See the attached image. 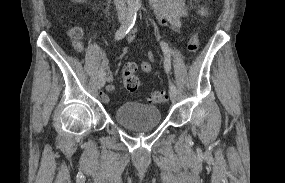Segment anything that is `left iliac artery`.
Masks as SVG:
<instances>
[{"instance_id": "left-iliac-artery-1", "label": "left iliac artery", "mask_w": 285, "mask_h": 183, "mask_svg": "<svg viewBox=\"0 0 285 183\" xmlns=\"http://www.w3.org/2000/svg\"><path fill=\"white\" fill-rule=\"evenodd\" d=\"M160 45H161V48H162V50L164 52V56H165L164 68H165V71L168 73L170 71V68H171L170 49H169L168 44L165 42H161ZM169 88H170V90L175 91L177 93V88L173 83H170Z\"/></svg>"}]
</instances>
